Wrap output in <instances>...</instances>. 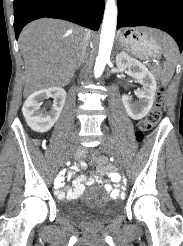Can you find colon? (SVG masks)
Returning a JSON list of instances; mask_svg holds the SVG:
<instances>
[{
	"instance_id": "obj_1",
	"label": "colon",
	"mask_w": 183,
	"mask_h": 246,
	"mask_svg": "<svg viewBox=\"0 0 183 246\" xmlns=\"http://www.w3.org/2000/svg\"><path fill=\"white\" fill-rule=\"evenodd\" d=\"M165 87L160 86L157 90L156 101L148 115L140 122L139 130L136 133V137L139 141L144 139V133L151 130L161 119L162 115V102L165 97ZM90 154H94L95 157L99 156L96 149H90Z\"/></svg>"
}]
</instances>
